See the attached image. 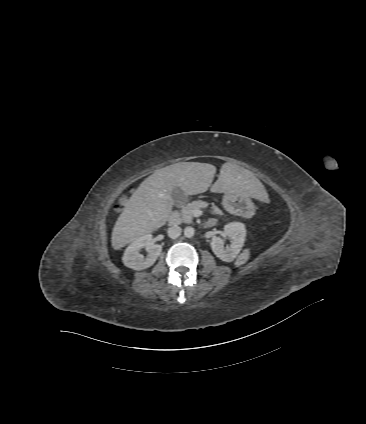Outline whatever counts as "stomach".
Segmentation results:
<instances>
[{
  "mask_svg": "<svg viewBox=\"0 0 366 424\" xmlns=\"http://www.w3.org/2000/svg\"><path fill=\"white\" fill-rule=\"evenodd\" d=\"M239 202H244L253 209L251 196L224 192V198H223L222 204L224 209L227 212L234 215L239 214V210L234 206L236 203H239Z\"/></svg>",
  "mask_w": 366,
  "mask_h": 424,
  "instance_id": "stomach-1",
  "label": "stomach"
}]
</instances>
